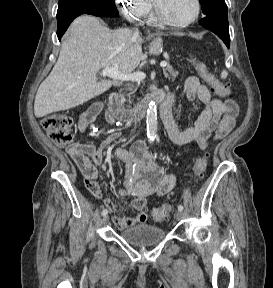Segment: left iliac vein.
Listing matches in <instances>:
<instances>
[{
	"mask_svg": "<svg viewBox=\"0 0 273 288\" xmlns=\"http://www.w3.org/2000/svg\"><path fill=\"white\" fill-rule=\"evenodd\" d=\"M176 220H181L183 218V212L182 211H177L175 214Z\"/></svg>",
	"mask_w": 273,
	"mask_h": 288,
	"instance_id": "4c4485c4",
	"label": "left iliac vein"
}]
</instances>
